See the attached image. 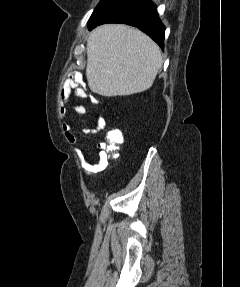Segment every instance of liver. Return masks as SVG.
Listing matches in <instances>:
<instances>
[{
	"instance_id": "1",
	"label": "liver",
	"mask_w": 240,
	"mask_h": 287,
	"mask_svg": "<svg viewBox=\"0 0 240 287\" xmlns=\"http://www.w3.org/2000/svg\"><path fill=\"white\" fill-rule=\"evenodd\" d=\"M162 63L159 46L140 30L123 24L99 26L87 39L88 86L105 97L146 91Z\"/></svg>"
}]
</instances>
